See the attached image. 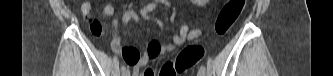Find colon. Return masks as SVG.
Returning <instances> with one entry per match:
<instances>
[{"mask_svg": "<svg viewBox=\"0 0 333 76\" xmlns=\"http://www.w3.org/2000/svg\"><path fill=\"white\" fill-rule=\"evenodd\" d=\"M245 0H228L215 21V32L219 36H223L229 32L237 19L242 14L245 7ZM205 50L203 46L198 44L188 45L183 48L173 59L165 61L158 75L159 76H176L183 74L191 67L195 66L204 56ZM154 71L146 68L143 76H153Z\"/></svg>", "mask_w": 333, "mask_h": 76, "instance_id": "5ec220e1", "label": "colon"}]
</instances>
